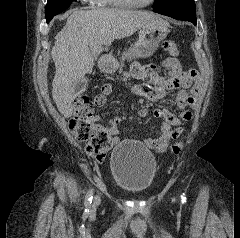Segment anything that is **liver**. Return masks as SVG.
Masks as SVG:
<instances>
[{
    "label": "liver",
    "instance_id": "liver-1",
    "mask_svg": "<svg viewBox=\"0 0 240 238\" xmlns=\"http://www.w3.org/2000/svg\"><path fill=\"white\" fill-rule=\"evenodd\" d=\"M160 20L151 12L116 8L79 10L68 16L51 50L56 68L52 97L64 118L72 115L75 84L92 72L94 59L107 51L115 39L130 37Z\"/></svg>",
    "mask_w": 240,
    "mask_h": 238
}]
</instances>
